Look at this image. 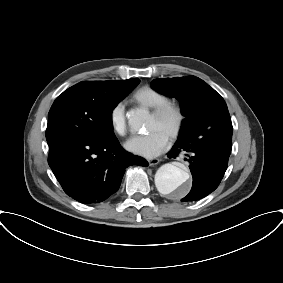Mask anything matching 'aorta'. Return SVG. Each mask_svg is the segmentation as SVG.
Returning <instances> with one entry per match:
<instances>
[{
  "mask_svg": "<svg viewBox=\"0 0 283 283\" xmlns=\"http://www.w3.org/2000/svg\"><path fill=\"white\" fill-rule=\"evenodd\" d=\"M148 117L145 110H132L127 114L128 124L138 131ZM189 173L186 168L172 163L162 165L156 172L155 185L163 195L183 196L188 190Z\"/></svg>",
  "mask_w": 283,
  "mask_h": 283,
  "instance_id": "762f6f07",
  "label": "aorta"
}]
</instances>
